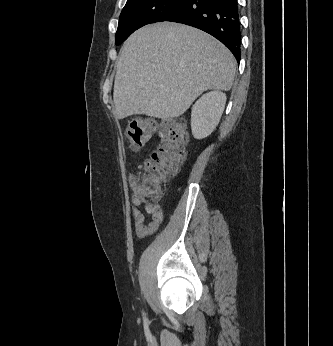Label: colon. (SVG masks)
Instances as JSON below:
<instances>
[{
  "mask_svg": "<svg viewBox=\"0 0 333 346\" xmlns=\"http://www.w3.org/2000/svg\"><path fill=\"white\" fill-rule=\"evenodd\" d=\"M153 120L138 118L131 121L126 135L133 150L146 146L156 130ZM186 136L175 121L164 124L160 133V144L144 164V173L139 179V193L145 200L157 203L161 197L163 180L174 175L185 158Z\"/></svg>",
  "mask_w": 333,
  "mask_h": 346,
  "instance_id": "1",
  "label": "colon"
}]
</instances>
